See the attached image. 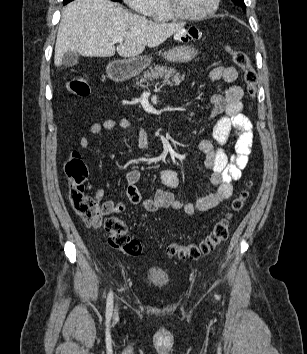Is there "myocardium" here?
Masks as SVG:
<instances>
[{
    "mask_svg": "<svg viewBox=\"0 0 307 354\" xmlns=\"http://www.w3.org/2000/svg\"><path fill=\"white\" fill-rule=\"evenodd\" d=\"M167 10L170 15L179 20H188V21H199L211 17L219 8L221 0H213L212 5L208 10L200 14H188L185 13L180 5L179 0H164Z\"/></svg>",
    "mask_w": 307,
    "mask_h": 354,
    "instance_id": "f54148a6",
    "label": "myocardium"
}]
</instances>
